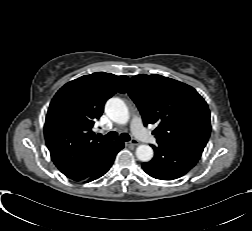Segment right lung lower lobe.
Segmentation results:
<instances>
[{
    "instance_id": "obj_1",
    "label": "right lung lower lobe",
    "mask_w": 252,
    "mask_h": 231,
    "mask_svg": "<svg viewBox=\"0 0 252 231\" xmlns=\"http://www.w3.org/2000/svg\"><path fill=\"white\" fill-rule=\"evenodd\" d=\"M124 147V143L121 141H117L114 145L113 149L98 162L96 167L94 168L92 174L84 179L85 182H90L95 179H98L102 175H104L112 166L116 154Z\"/></svg>"
}]
</instances>
